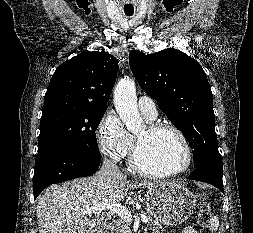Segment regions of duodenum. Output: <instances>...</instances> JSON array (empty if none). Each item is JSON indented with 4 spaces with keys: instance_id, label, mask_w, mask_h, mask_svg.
<instances>
[{
    "instance_id": "obj_1",
    "label": "duodenum",
    "mask_w": 253,
    "mask_h": 233,
    "mask_svg": "<svg viewBox=\"0 0 253 233\" xmlns=\"http://www.w3.org/2000/svg\"><path fill=\"white\" fill-rule=\"evenodd\" d=\"M110 223H111V217L104 216L100 224H97L96 226H94L93 233H106Z\"/></svg>"
}]
</instances>
